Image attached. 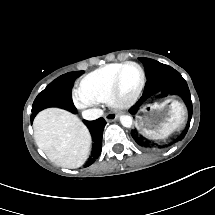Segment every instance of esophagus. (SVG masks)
I'll list each match as a JSON object with an SVG mask.
<instances>
[{"mask_svg":"<svg viewBox=\"0 0 215 215\" xmlns=\"http://www.w3.org/2000/svg\"><path fill=\"white\" fill-rule=\"evenodd\" d=\"M117 118H118V116H117L116 114H113V113H107V114L105 115V120H106L107 122H113V121H115Z\"/></svg>","mask_w":215,"mask_h":215,"instance_id":"1","label":"esophagus"}]
</instances>
